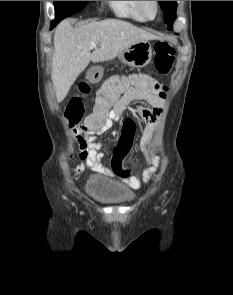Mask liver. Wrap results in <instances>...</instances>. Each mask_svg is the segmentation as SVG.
<instances>
[{
    "instance_id": "liver-1",
    "label": "liver",
    "mask_w": 233,
    "mask_h": 295,
    "mask_svg": "<svg viewBox=\"0 0 233 295\" xmlns=\"http://www.w3.org/2000/svg\"><path fill=\"white\" fill-rule=\"evenodd\" d=\"M155 39V35L123 20L107 19L78 28H73L69 19L63 20L55 30L52 58L51 79L57 101L66 97L90 61L112 60L135 42ZM91 42L99 44L92 53Z\"/></svg>"
}]
</instances>
